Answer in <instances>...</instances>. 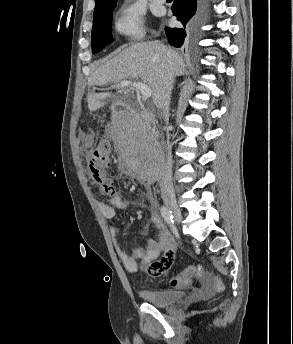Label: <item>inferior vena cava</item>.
Listing matches in <instances>:
<instances>
[{
  "label": "inferior vena cava",
  "mask_w": 293,
  "mask_h": 344,
  "mask_svg": "<svg viewBox=\"0 0 293 344\" xmlns=\"http://www.w3.org/2000/svg\"><path fill=\"white\" fill-rule=\"evenodd\" d=\"M170 57V53H168ZM174 83V73L171 67H166L163 76V83L158 92V99L155 104L158 108L162 110L163 117L165 122L168 124L169 121V105H170V95ZM163 155L165 158V164L162 169L161 179H160V188L161 196L163 198H174V188L172 185V154H171V145L169 142V133L167 132V142L161 143Z\"/></svg>",
  "instance_id": "1"
}]
</instances>
